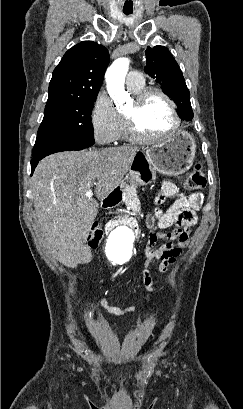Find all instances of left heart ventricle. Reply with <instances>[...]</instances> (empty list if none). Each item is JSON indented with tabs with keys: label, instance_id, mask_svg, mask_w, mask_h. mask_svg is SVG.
I'll return each mask as SVG.
<instances>
[{
	"label": "left heart ventricle",
	"instance_id": "obj_1",
	"mask_svg": "<svg viewBox=\"0 0 243 409\" xmlns=\"http://www.w3.org/2000/svg\"><path fill=\"white\" fill-rule=\"evenodd\" d=\"M133 102L125 113H133ZM136 118L141 131L148 135H158L168 130L172 125V116L166 101L158 95L149 97L136 112Z\"/></svg>",
	"mask_w": 243,
	"mask_h": 409
}]
</instances>
